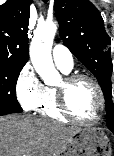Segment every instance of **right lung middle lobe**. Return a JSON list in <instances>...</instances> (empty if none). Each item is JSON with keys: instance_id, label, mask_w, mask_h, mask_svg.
Returning a JSON list of instances; mask_svg holds the SVG:
<instances>
[{"instance_id": "right-lung-middle-lobe-1", "label": "right lung middle lobe", "mask_w": 114, "mask_h": 156, "mask_svg": "<svg viewBox=\"0 0 114 156\" xmlns=\"http://www.w3.org/2000/svg\"><path fill=\"white\" fill-rule=\"evenodd\" d=\"M23 65L0 62V113L22 112L16 98V83Z\"/></svg>"}]
</instances>
